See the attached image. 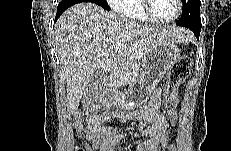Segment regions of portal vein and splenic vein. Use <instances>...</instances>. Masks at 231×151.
Here are the masks:
<instances>
[{"mask_svg": "<svg viewBox=\"0 0 231 151\" xmlns=\"http://www.w3.org/2000/svg\"><path fill=\"white\" fill-rule=\"evenodd\" d=\"M122 47H123V44H122V43H117V44H116V48H117V49H121Z\"/></svg>", "mask_w": 231, "mask_h": 151, "instance_id": "18ae733b", "label": "portal vein and splenic vein"}]
</instances>
